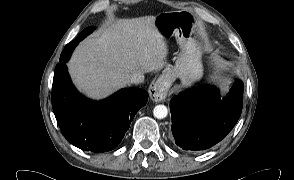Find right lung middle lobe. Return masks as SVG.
<instances>
[{"label": "right lung middle lobe", "mask_w": 294, "mask_h": 180, "mask_svg": "<svg viewBox=\"0 0 294 180\" xmlns=\"http://www.w3.org/2000/svg\"><path fill=\"white\" fill-rule=\"evenodd\" d=\"M94 30V27L91 26V27H87L86 29H84L80 35L76 38H80V39H84L87 35H89L92 31Z\"/></svg>", "instance_id": "right-lung-middle-lobe-1"}]
</instances>
